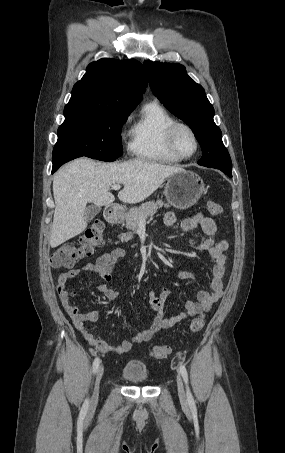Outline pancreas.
Returning <instances> with one entry per match:
<instances>
[{"label":"pancreas","instance_id":"pancreas-1","mask_svg":"<svg viewBox=\"0 0 285 453\" xmlns=\"http://www.w3.org/2000/svg\"><path fill=\"white\" fill-rule=\"evenodd\" d=\"M163 206L166 208L169 207V205L165 204L162 200H157L145 202L138 208H131L125 214L126 223L123 225H125L128 230L135 231L142 220H146L148 216L155 214L158 208H161ZM119 237L122 242H127L128 240L132 239L133 236L131 233H127L121 234Z\"/></svg>","mask_w":285,"mask_h":453}]
</instances>
